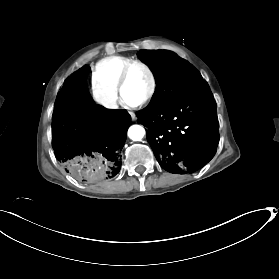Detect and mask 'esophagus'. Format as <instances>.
<instances>
[{"label": "esophagus", "mask_w": 279, "mask_h": 279, "mask_svg": "<svg viewBox=\"0 0 279 279\" xmlns=\"http://www.w3.org/2000/svg\"><path fill=\"white\" fill-rule=\"evenodd\" d=\"M130 113V115H131V117H132V120H135V114L133 113V112H129Z\"/></svg>", "instance_id": "esophagus-1"}]
</instances>
